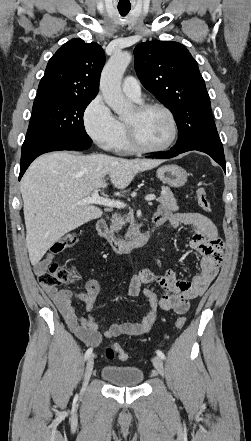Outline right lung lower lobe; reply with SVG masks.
Segmentation results:
<instances>
[{"instance_id": "1", "label": "right lung lower lobe", "mask_w": 251, "mask_h": 441, "mask_svg": "<svg viewBox=\"0 0 251 441\" xmlns=\"http://www.w3.org/2000/svg\"><path fill=\"white\" fill-rule=\"evenodd\" d=\"M92 143L63 141L55 136L38 131L27 132L21 151L19 180L31 162L39 155L59 150H86Z\"/></svg>"}]
</instances>
